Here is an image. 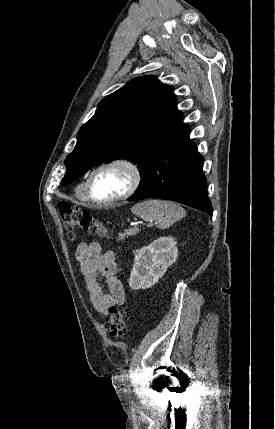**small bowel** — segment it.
<instances>
[{
	"mask_svg": "<svg viewBox=\"0 0 275 429\" xmlns=\"http://www.w3.org/2000/svg\"><path fill=\"white\" fill-rule=\"evenodd\" d=\"M76 258L85 278L90 301L98 313L106 315L111 306L125 303V292L117 277L112 251L103 252L98 242L81 243L76 249ZM99 278L104 279L108 292H103Z\"/></svg>",
	"mask_w": 275,
	"mask_h": 429,
	"instance_id": "obj_1",
	"label": "small bowel"
}]
</instances>
